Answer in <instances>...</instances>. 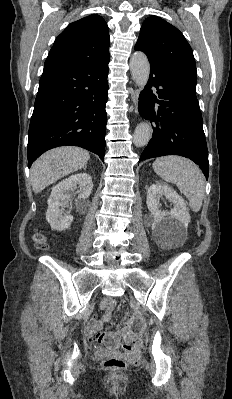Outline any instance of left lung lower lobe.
Wrapping results in <instances>:
<instances>
[{
  "mask_svg": "<svg viewBox=\"0 0 232 399\" xmlns=\"http://www.w3.org/2000/svg\"><path fill=\"white\" fill-rule=\"evenodd\" d=\"M150 62V61H149ZM139 113L153 127L139 161L180 155L194 161L208 180L209 161L199 104L160 67L150 62L148 84L139 96Z\"/></svg>",
  "mask_w": 232,
  "mask_h": 399,
  "instance_id": "left-lung-lower-lobe-1",
  "label": "left lung lower lobe"
}]
</instances>
